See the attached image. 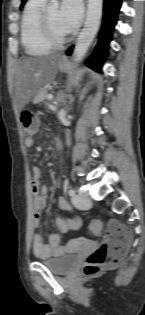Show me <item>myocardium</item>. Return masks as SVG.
I'll use <instances>...</instances> for the list:
<instances>
[{"label":"myocardium","instance_id":"1","mask_svg":"<svg viewBox=\"0 0 145 315\" xmlns=\"http://www.w3.org/2000/svg\"><path fill=\"white\" fill-rule=\"evenodd\" d=\"M40 28H41V32H42L45 40L52 47H61V46L65 45L71 39L70 33L63 38H58L54 34L51 23H50L48 8L44 9V11L42 13L41 20H40Z\"/></svg>","mask_w":145,"mask_h":315}]
</instances>
